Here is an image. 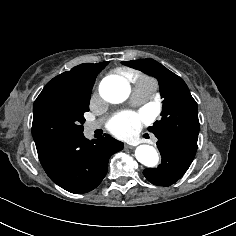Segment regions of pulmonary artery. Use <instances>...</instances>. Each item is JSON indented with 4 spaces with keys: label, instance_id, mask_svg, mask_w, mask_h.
Listing matches in <instances>:
<instances>
[{
    "label": "pulmonary artery",
    "instance_id": "pulmonary-artery-1",
    "mask_svg": "<svg viewBox=\"0 0 236 236\" xmlns=\"http://www.w3.org/2000/svg\"><path fill=\"white\" fill-rule=\"evenodd\" d=\"M155 91V88L145 85H136L133 87L132 96H131V102H139L143 103L149 100L153 93ZM103 124V119H99L96 121L89 122L85 125L86 133L92 135L97 129H100Z\"/></svg>",
    "mask_w": 236,
    "mask_h": 236
}]
</instances>
